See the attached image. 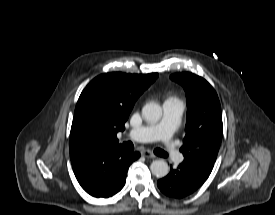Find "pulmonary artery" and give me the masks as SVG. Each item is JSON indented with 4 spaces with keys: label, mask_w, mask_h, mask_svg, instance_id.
<instances>
[{
    "label": "pulmonary artery",
    "mask_w": 275,
    "mask_h": 215,
    "mask_svg": "<svg viewBox=\"0 0 275 215\" xmlns=\"http://www.w3.org/2000/svg\"><path fill=\"white\" fill-rule=\"evenodd\" d=\"M163 111V118L159 123L131 129L126 136L137 142L160 140L169 160L175 162L182 156L175 147L172 136L180 124L184 104L178 99H170L164 102Z\"/></svg>",
    "instance_id": "pulmonary-artery-1"
}]
</instances>
